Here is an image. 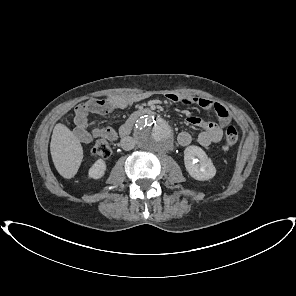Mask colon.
Returning a JSON list of instances; mask_svg holds the SVG:
<instances>
[{"mask_svg": "<svg viewBox=\"0 0 296 296\" xmlns=\"http://www.w3.org/2000/svg\"><path fill=\"white\" fill-rule=\"evenodd\" d=\"M238 137L239 133L236 126L229 125L225 131V139L222 148L228 150L237 142ZM90 154L96 158L108 159L112 155V149L107 139L102 138L96 141L90 150Z\"/></svg>", "mask_w": 296, "mask_h": 296, "instance_id": "1", "label": "colon"}]
</instances>
